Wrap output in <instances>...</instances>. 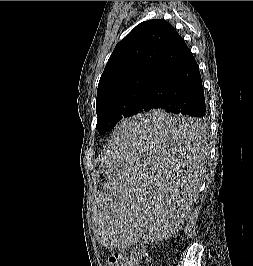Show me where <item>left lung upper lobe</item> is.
I'll return each mask as SVG.
<instances>
[{
	"mask_svg": "<svg viewBox=\"0 0 253 266\" xmlns=\"http://www.w3.org/2000/svg\"><path fill=\"white\" fill-rule=\"evenodd\" d=\"M175 32L164 20L144 21L116 45L97 89L96 127L100 134L143 112L153 73Z\"/></svg>",
	"mask_w": 253,
	"mask_h": 266,
	"instance_id": "1",
	"label": "left lung upper lobe"
}]
</instances>
